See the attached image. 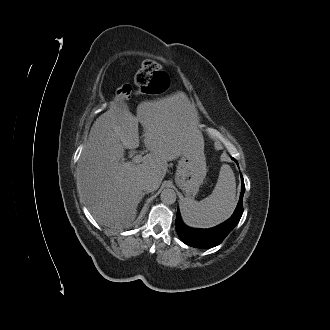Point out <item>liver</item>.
Masks as SVG:
<instances>
[{"label":"liver","mask_w":330,"mask_h":330,"mask_svg":"<svg viewBox=\"0 0 330 330\" xmlns=\"http://www.w3.org/2000/svg\"><path fill=\"white\" fill-rule=\"evenodd\" d=\"M136 113L134 116L126 108L113 107L100 115L78 164V190L94 219L106 227L121 229L135 220L144 178L153 177L159 186L168 161L187 150L204 149L196 110L189 101L142 102ZM138 123L150 153L140 164L124 162L125 149L139 146Z\"/></svg>","instance_id":"1"}]
</instances>
